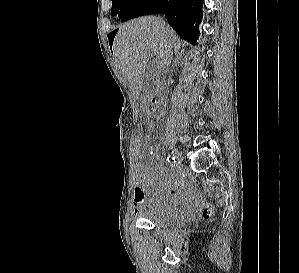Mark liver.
<instances>
[{
    "label": "liver",
    "mask_w": 299,
    "mask_h": 273,
    "mask_svg": "<svg viewBox=\"0 0 299 273\" xmlns=\"http://www.w3.org/2000/svg\"><path fill=\"white\" fill-rule=\"evenodd\" d=\"M180 46V39L162 19L139 17L119 27L113 55L120 73L138 96L143 89L150 53L159 60L158 66L163 70L170 66L173 53L177 54Z\"/></svg>",
    "instance_id": "liver-1"
}]
</instances>
